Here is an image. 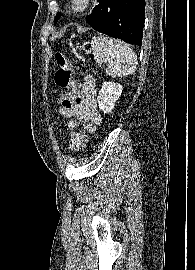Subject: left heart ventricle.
<instances>
[{"label":"left heart ventricle","mask_w":195,"mask_h":270,"mask_svg":"<svg viewBox=\"0 0 195 270\" xmlns=\"http://www.w3.org/2000/svg\"><path fill=\"white\" fill-rule=\"evenodd\" d=\"M81 1H82V0H79L78 5H81Z\"/></svg>","instance_id":"b2bd125f"}]
</instances>
